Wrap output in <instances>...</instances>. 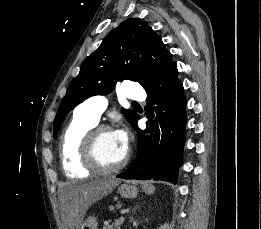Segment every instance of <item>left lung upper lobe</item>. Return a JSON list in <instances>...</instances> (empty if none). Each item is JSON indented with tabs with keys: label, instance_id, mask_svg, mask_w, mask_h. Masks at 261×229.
I'll use <instances>...</instances> for the list:
<instances>
[{
	"label": "left lung upper lobe",
	"instance_id": "left-lung-upper-lobe-1",
	"mask_svg": "<svg viewBox=\"0 0 261 229\" xmlns=\"http://www.w3.org/2000/svg\"><path fill=\"white\" fill-rule=\"evenodd\" d=\"M172 57L147 22L126 19L84 60L79 74L70 82L54 120L53 136L66 114L85 99L110 93L117 81L123 79L139 82L146 88L176 64ZM122 112L132 126L137 113L126 109Z\"/></svg>",
	"mask_w": 261,
	"mask_h": 229
}]
</instances>
